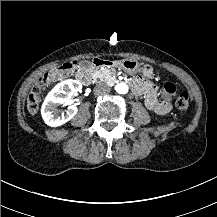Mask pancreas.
Returning a JSON list of instances; mask_svg holds the SVG:
<instances>
[{
    "instance_id": "pancreas-1",
    "label": "pancreas",
    "mask_w": 217,
    "mask_h": 217,
    "mask_svg": "<svg viewBox=\"0 0 217 217\" xmlns=\"http://www.w3.org/2000/svg\"><path fill=\"white\" fill-rule=\"evenodd\" d=\"M115 75H116V70H114V71L105 70L99 74V76L102 78H114Z\"/></svg>"
}]
</instances>
